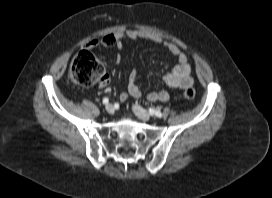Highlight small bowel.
Listing matches in <instances>:
<instances>
[{
	"instance_id": "small-bowel-1",
	"label": "small bowel",
	"mask_w": 272,
	"mask_h": 198,
	"mask_svg": "<svg viewBox=\"0 0 272 198\" xmlns=\"http://www.w3.org/2000/svg\"><path fill=\"white\" fill-rule=\"evenodd\" d=\"M145 39L153 43L164 46L177 59V65L163 76V82L172 88L188 89L193 86V79L190 75L191 68L188 63L187 56L180 50V48L162 37L137 29H127L124 31L113 32L105 35L101 39H92L86 44V48L95 49L100 46H115L121 50L124 46V40ZM121 56L117 55L115 62L119 63ZM109 83V77L104 76L99 84L100 88H104ZM141 89L138 85L136 71L133 70L128 77L127 92L120 94V101L125 102L129 96L134 98L141 97ZM147 99L151 102H167L170 95L167 91H152L148 93Z\"/></svg>"
}]
</instances>
